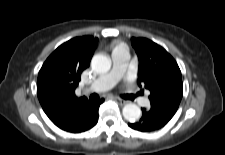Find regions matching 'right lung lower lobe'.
I'll return each mask as SVG.
<instances>
[{"mask_svg":"<svg viewBox=\"0 0 225 155\" xmlns=\"http://www.w3.org/2000/svg\"><path fill=\"white\" fill-rule=\"evenodd\" d=\"M104 99L96 102H89L83 107H80L76 112L70 113L64 124L56 125L60 129L79 133L91 129L98 122V108Z\"/></svg>","mask_w":225,"mask_h":155,"instance_id":"98d812e1","label":"right lung lower lobe"}]
</instances>
